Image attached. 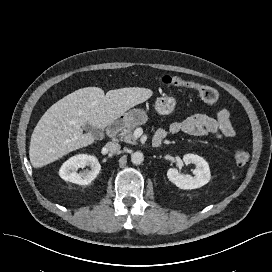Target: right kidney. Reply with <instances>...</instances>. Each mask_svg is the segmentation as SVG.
<instances>
[{"mask_svg": "<svg viewBox=\"0 0 272 272\" xmlns=\"http://www.w3.org/2000/svg\"><path fill=\"white\" fill-rule=\"evenodd\" d=\"M90 167L89 169L77 172L79 168ZM101 165L95 156L79 154L71 157L63 163L59 170V175L65 181L79 185L91 183L99 174Z\"/></svg>", "mask_w": 272, "mask_h": 272, "instance_id": "obj_1", "label": "right kidney"}]
</instances>
